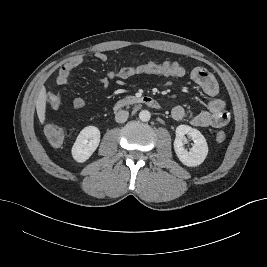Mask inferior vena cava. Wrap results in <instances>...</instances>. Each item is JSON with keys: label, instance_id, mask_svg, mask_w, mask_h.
I'll use <instances>...</instances> for the list:
<instances>
[{"label": "inferior vena cava", "instance_id": "602c4592", "mask_svg": "<svg viewBox=\"0 0 267 267\" xmlns=\"http://www.w3.org/2000/svg\"><path fill=\"white\" fill-rule=\"evenodd\" d=\"M129 112L126 110H120L115 115V120L118 123H124L128 119Z\"/></svg>", "mask_w": 267, "mask_h": 267}]
</instances>
